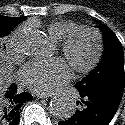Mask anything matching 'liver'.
Returning a JSON list of instances; mask_svg holds the SVG:
<instances>
[{"instance_id":"1","label":"liver","mask_w":125,"mask_h":125,"mask_svg":"<svg viewBox=\"0 0 125 125\" xmlns=\"http://www.w3.org/2000/svg\"><path fill=\"white\" fill-rule=\"evenodd\" d=\"M4 61V54L0 50V95L3 91H6L10 83L7 79V75L9 74V68Z\"/></svg>"}]
</instances>
